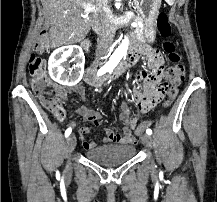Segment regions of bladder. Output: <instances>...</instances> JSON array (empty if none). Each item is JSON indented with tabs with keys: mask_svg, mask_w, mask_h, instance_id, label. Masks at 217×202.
<instances>
[{
	"mask_svg": "<svg viewBox=\"0 0 217 202\" xmlns=\"http://www.w3.org/2000/svg\"><path fill=\"white\" fill-rule=\"evenodd\" d=\"M135 151V147H131L129 144L102 146L93 151H86V156L103 166H113L128 161Z\"/></svg>",
	"mask_w": 217,
	"mask_h": 202,
	"instance_id": "31cf9c89",
	"label": "bladder"
}]
</instances>
